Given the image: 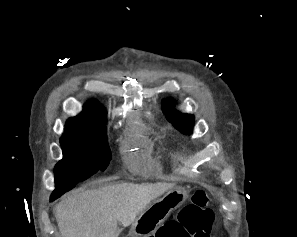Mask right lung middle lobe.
<instances>
[{
  "label": "right lung middle lobe",
  "instance_id": "dd1d6c3e",
  "mask_svg": "<svg viewBox=\"0 0 297 237\" xmlns=\"http://www.w3.org/2000/svg\"><path fill=\"white\" fill-rule=\"evenodd\" d=\"M63 159L54 169L55 190L51 201L71 190L98 170L104 171L111 159L106 128L99 130H68L60 139Z\"/></svg>",
  "mask_w": 297,
  "mask_h": 237
}]
</instances>
